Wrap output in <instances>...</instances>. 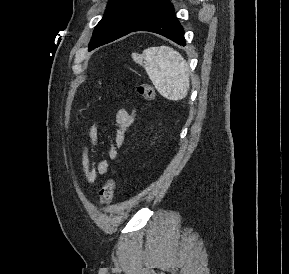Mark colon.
I'll return each mask as SVG.
<instances>
[{"label": "colon", "mask_w": 289, "mask_h": 274, "mask_svg": "<svg viewBox=\"0 0 289 274\" xmlns=\"http://www.w3.org/2000/svg\"><path fill=\"white\" fill-rule=\"evenodd\" d=\"M137 91L141 97H143L146 101L152 102L155 99V90L154 88L147 84L141 83L137 87ZM116 187V182L113 177L109 178L103 187L99 191V201L102 206L108 204L114 195Z\"/></svg>", "instance_id": "colon-1"}]
</instances>
